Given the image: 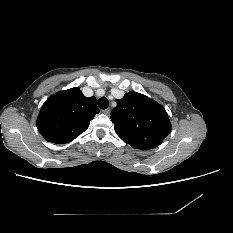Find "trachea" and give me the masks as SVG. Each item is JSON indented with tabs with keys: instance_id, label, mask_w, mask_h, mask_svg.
Wrapping results in <instances>:
<instances>
[{
	"instance_id": "trachea-1",
	"label": "trachea",
	"mask_w": 233,
	"mask_h": 233,
	"mask_svg": "<svg viewBox=\"0 0 233 233\" xmlns=\"http://www.w3.org/2000/svg\"><path fill=\"white\" fill-rule=\"evenodd\" d=\"M98 106L101 108V109H106L108 106H109V101L106 97H101L99 100H98Z\"/></svg>"
}]
</instances>
